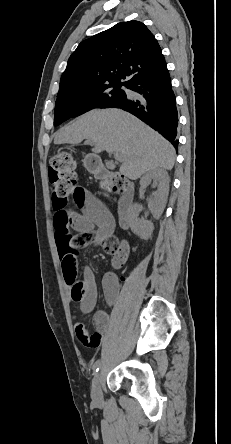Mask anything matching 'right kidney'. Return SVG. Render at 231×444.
Listing matches in <instances>:
<instances>
[{
    "mask_svg": "<svg viewBox=\"0 0 231 444\" xmlns=\"http://www.w3.org/2000/svg\"><path fill=\"white\" fill-rule=\"evenodd\" d=\"M153 181V187L157 190L153 193L154 198L150 201L149 209L155 219H159L162 215L169 193V176L165 170L155 169L147 172L140 180L141 187H145ZM140 208L137 204L133 205L130 211L129 223L134 234L142 239H148L153 230L154 225L151 221L140 219Z\"/></svg>",
    "mask_w": 231,
    "mask_h": 444,
    "instance_id": "obj_1",
    "label": "right kidney"
}]
</instances>
